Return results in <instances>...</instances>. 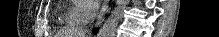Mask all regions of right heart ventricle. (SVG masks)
Listing matches in <instances>:
<instances>
[{"instance_id":"right-heart-ventricle-1","label":"right heart ventricle","mask_w":219,"mask_h":37,"mask_svg":"<svg viewBox=\"0 0 219 37\" xmlns=\"http://www.w3.org/2000/svg\"><path fill=\"white\" fill-rule=\"evenodd\" d=\"M65 23L67 25H71V26H74V25H77V23L73 22V21H69V20H65Z\"/></svg>"}]
</instances>
